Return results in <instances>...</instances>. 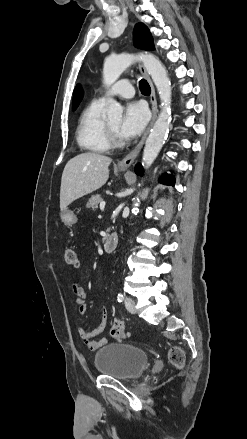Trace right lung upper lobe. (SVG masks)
<instances>
[{
  "label": "right lung upper lobe",
  "instance_id": "cb5924a9",
  "mask_svg": "<svg viewBox=\"0 0 247 439\" xmlns=\"http://www.w3.org/2000/svg\"><path fill=\"white\" fill-rule=\"evenodd\" d=\"M82 97H83V91L80 86H77L75 88L74 96H73V107H72L73 109H76L78 107L80 101L82 100Z\"/></svg>",
  "mask_w": 247,
  "mask_h": 439
}]
</instances>
